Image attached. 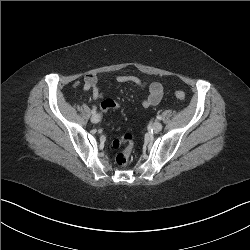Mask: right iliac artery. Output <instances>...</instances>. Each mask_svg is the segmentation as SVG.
Segmentation results:
<instances>
[{"label":"right iliac artery","instance_id":"1","mask_svg":"<svg viewBox=\"0 0 250 250\" xmlns=\"http://www.w3.org/2000/svg\"><path fill=\"white\" fill-rule=\"evenodd\" d=\"M92 114H95L96 113V109L93 108L92 111H91Z\"/></svg>","mask_w":250,"mask_h":250}]
</instances>
